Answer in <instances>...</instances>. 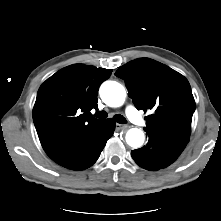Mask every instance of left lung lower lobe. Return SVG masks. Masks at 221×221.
<instances>
[{
	"label": "left lung lower lobe",
	"instance_id": "1",
	"mask_svg": "<svg viewBox=\"0 0 221 221\" xmlns=\"http://www.w3.org/2000/svg\"><path fill=\"white\" fill-rule=\"evenodd\" d=\"M181 152L159 139L149 137L147 145L132 150L131 155L140 167L156 171L172 164Z\"/></svg>",
	"mask_w": 221,
	"mask_h": 221
}]
</instances>
